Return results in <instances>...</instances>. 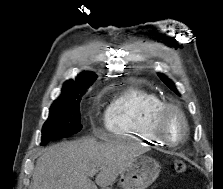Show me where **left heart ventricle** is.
<instances>
[{"mask_svg":"<svg viewBox=\"0 0 223 189\" xmlns=\"http://www.w3.org/2000/svg\"><path fill=\"white\" fill-rule=\"evenodd\" d=\"M183 134V123L176 114H171L165 122V135L171 141H177Z\"/></svg>","mask_w":223,"mask_h":189,"instance_id":"b2bd125f","label":"left heart ventricle"}]
</instances>
